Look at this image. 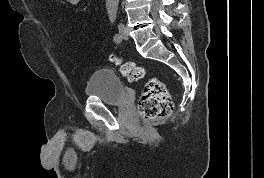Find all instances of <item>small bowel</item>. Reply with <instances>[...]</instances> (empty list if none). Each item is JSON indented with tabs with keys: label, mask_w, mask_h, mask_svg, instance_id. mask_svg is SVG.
Instances as JSON below:
<instances>
[{
	"label": "small bowel",
	"mask_w": 264,
	"mask_h": 178,
	"mask_svg": "<svg viewBox=\"0 0 264 178\" xmlns=\"http://www.w3.org/2000/svg\"><path fill=\"white\" fill-rule=\"evenodd\" d=\"M82 0H66V2L71 6V7H78L80 5Z\"/></svg>",
	"instance_id": "c3829d8e"
}]
</instances>
